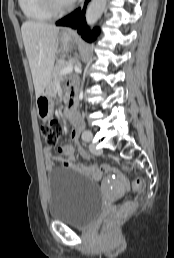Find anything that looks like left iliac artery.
I'll return each mask as SVG.
<instances>
[{
  "instance_id": "obj_1",
  "label": "left iliac artery",
  "mask_w": 174,
  "mask_h": 258,
  "mask_svg": "<svg viewBox=\"0 0 174 258\" xmlns=\"http://www.w3.org/2000/svg\"><path fill=\"white\" fill-rule=\"evenodd\" d=\"M82 139L85 142H89L92 139V133L89 130H86L82 133Z\"/></svg>"
}]
</instances>
